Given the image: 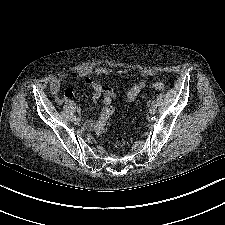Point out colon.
I'll return each instance as SVG.
<instances>
[{
    "instance_id": "1",
    "label": "colon",
    "mask_w": 225,
    "mask_h": 225,
    "mask_svg": "<svg viewBox=\"0 0 225 225\" xmlns=\"http://www.w3.org/2000/svg\"><path fill=\"white\" fill-rule=\"evenodd\" d=\"M152 88L155 91H162L164 89V84L157 82L153 84ZM113 113H114V108L111 105V102L109 100H106L102 113L94 125V132L96 135L101 136L107 132L109 120L111 116L113 115ZM114 145L116 148H121L123 146L122 139L116 138L114 140Z\"/></svg>"
}]
</instances>
